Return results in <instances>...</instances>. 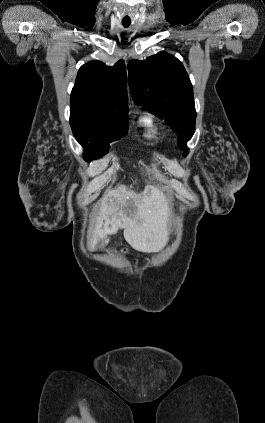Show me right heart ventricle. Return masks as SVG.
Here are the masks:
<instances>
[{"instance_id": "obj_1", "label": "right heart ventricle", "mask_w": 265, "mask_h": 423, "mask_svg": "<svg viewBox=\"0 0 265 423\" xmlns=\"http://www.w3.org/2000/svg\"><path fill=\"white\" fill-rule=\"evenodd\" d=\"M139 122L146 129V135L148 137H156L159 135L157 123L153 116L144 115L140 118Z\"/></svg>"}]
</instances>
